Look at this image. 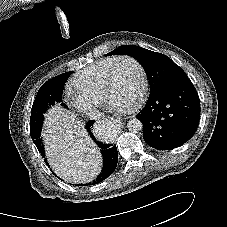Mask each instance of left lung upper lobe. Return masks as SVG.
Masks as SVG:
<instances>
[{"label":"left lung upper lobe","instance_id":"5c2ea615","mask_svg":"<svg viewBox=\"0 0 227 227\" xmlns=\"http://www.w3.org/2000/svg\"><path fill=\"white\" fill-rule=\"evenodd\" d=\"M114 54L130 55L142 64L148 75L150 93L187 77L185 72L166 55L139 46L122 45L107 55Z\"/></svg>","mask_w":227,"mask_h":227}]
</instances>
